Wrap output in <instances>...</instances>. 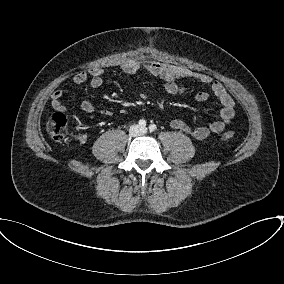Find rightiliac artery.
<instances>
[{
	"instance_id": "right-iliac-artery-1",
	"label": "right iliac artery",
	"mask_w": 284,
	"mask_h": 284,
	"mask_svg": "<svg viewBox=\"0 0 284 284\" xmlns=\"http://www.w3.org/2000/svg\"><path fill=\"white\" fill-rule=\"evenodd\" d=\"M139 125L141 127H145L146 126V121L144 119L139 120Z\"/></svg>"
}]
</instances>
